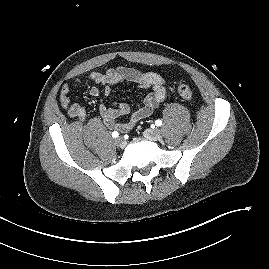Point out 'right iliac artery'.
I'll list each match as a JSON object with an SVG mask.
<instances>
[{"label": "right iliac artery", "instance_id": "82829eb1", "mask_svg": "<svg viewBox=\"0 0 269 269\" xmlns=\"http://www.w3.org/2000/svg\"><path fill=\"white\" fill-rule=\"evenodd\" d=\"M118 136H119V133H118L117 131H114V132L112 133V137L116 138V137H118Z\"/></svg>", "mask_w": 269, "mask_h": 269}]
</instances>
